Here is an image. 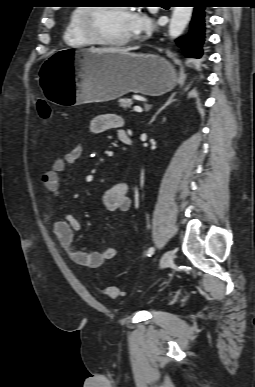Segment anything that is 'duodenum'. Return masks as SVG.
Segmentation results:
<instances>
[{
	"instance_id": "410a0bca",
	"label": "duodenum",
	"mask_w": 255,
	"mask_h": 387,
	"mask_svg": "<svg viewBox=\"0 0 255 387\" xmlns=\"http://www.w3.org/2000/svg\"><path fill=\"white\" fill-rule=\"evenodd\" d=\"M121 142H123L124 144H131L132 143V139L131 137L127 134V133H122L120 136H119Z\"/></svg>"
}]
</instances>
